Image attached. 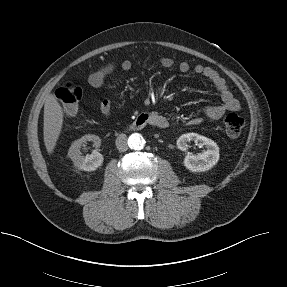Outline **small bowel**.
Instances as JSON below:
<instances>
[{"label":"small bowel","instance_id":"1","mask_svg":"<svg viewBox=\"0 0 287 287\" xmlns=\"http://www.w3.org/2000/svg\"><path fill=\"white\" fill-rule=\"evenodd\" d=\"M160 64L164 68H172L175 65L174 60L171 57L163 56L160 58ZM117 68L123 71H129L132 68V62L130 60H122L119 64L109 62L99 69L92 72L88 77L89 84L94 88H100L104 85L106 79ZM178 70L181 73H188L193 70L194 73L207 78L215 87L220 95V103L216 105H210L204 108L200 116H195L184 121L186 125H197L204 120L217 121L228 111H238L240 109L239 101L234 97L225 79L214 68L204 66L202 64H196L193 67L186 61H182L178 64ZM112 104L108 98L102 100L100 104V111L103 116L109 117L111 115ZM155 119V126L159 128H167L173 125L175 122L166 117L165 115L152 111L149 113Z\"/></svg>","mask_w":287,"mask_h":287}]
</instances>
